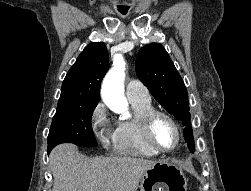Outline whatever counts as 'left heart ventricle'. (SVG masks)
Wrapping results in <instances>:
<instances>
[{
	"label": "left heart ventricle",
	"mask_w": 251,
	"mask_h": 191,
	"mask_svg": "<svg viewBox=\"0 0 251 191\" xmlns=\"http://www.w3.org/2000/svg\"><path fill=\"white\" fill-rule=\"evenodd\" d=\"M153 139L162 151H172L179 142V135L173 124L164 117H158L153 124Z\"/></svg>",
	"instance_id": "b2bd125f"
}]
</instances>
